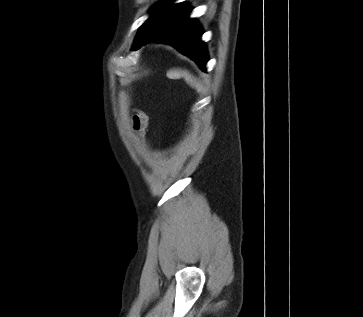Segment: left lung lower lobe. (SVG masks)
I'll return each mask as SVG.
<instances>
[{
	"label": "left lung lower lobe",
	"instance_id": "left-lung-lower-lobe-1",
	"mask_svg": "<svg viewBox=\"0 0 363 317\" xmlns=\"http://www.w3.org/2000/svg\"><path fill=\"white\" fill-rule=\"evenodd\" d=\"M172 1L163 0L155 6L148 28L133 49L151 41L164 42L192 58L206 71L207 52L200 40L202 31L197 22L189 18L190 10L182 3L172 5Z\"/></svg>",
	"mask_w": 363,
	"mask_h": 317
}]
</instances>
